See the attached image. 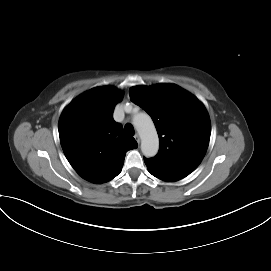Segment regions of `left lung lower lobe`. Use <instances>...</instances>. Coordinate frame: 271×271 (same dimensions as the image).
Instances as JSON below:
<instances>
[{"label":"left lung lower lobe","instance_id":"obj_1","mask_svg":"<svg viewBox=\"0 0 271 271\" xmlns=\"http://www.w3.org/2000/svg\"><path fill=\"white\" fill-rule=\"evenodd\" d=\"M148 171L155 177L163 181H177L191 173L189 170H185L179 167L171 166L168 164L160 163L152 159L144 158Z\"/></svg>","mask_w":271,"mask_h":271}]
</instances>
